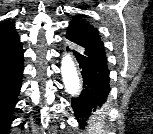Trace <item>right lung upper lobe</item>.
<instances>
[{"instance_id": "cb5924a9", "label": "right lung upper lobe", "mask_w": 153, "mask_h": 134, "mask_svg": "<svg viewBox=\"0 0 153 134\" xmlns=\"http://www.w3.org/2000/svg\"><path fill=\"white\" fill-rule=\"evenodd\" d=\"M19 41V36L14 29V24L4 22L0 25V50L13 46Z\"/></svg>"}]
</instances>
